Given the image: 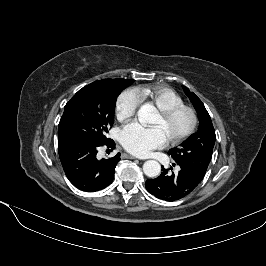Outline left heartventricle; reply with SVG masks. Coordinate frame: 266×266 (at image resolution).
Masks as SVG:
<instances>
[{"instance_id":"obj_1","label":"left heart ventricle","mask_w":266,"mask_h":266,"mask_svg":"<svg viewBox=\"0 0 266 266\" xmlns=\"http://www.w3.org/2000/svg\"><path fill=\"white\" fill-rule=\"evenodd\" d=\"M188 113L182 112L171 119H164L159 114L154 118L152 125L160 127L169 138L181 135L189 126Z\"/></svg>"}]
</instances>
